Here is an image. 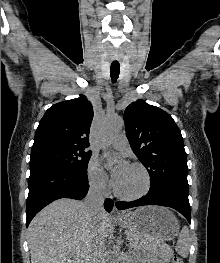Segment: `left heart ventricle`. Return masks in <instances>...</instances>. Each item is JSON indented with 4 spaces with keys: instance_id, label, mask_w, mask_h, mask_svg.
<instances>
[{
    "instance_id": "left-heart-ventricle-1",
    "label": "left heart ventricle",
    "mask_w": 220,
    "mask_h": 263,
    "mask_svg": "<svg viewBox=\"0 0 220 263\" xmlns=\"http://www.w3.org/2000/svg\"><path fill=\"white\" fill-rule=\"evenodd\" d=\"M115 185L121 193L129 195L136 194L143 190L145 177L139 168L130 165L115 182Z\"/></svg>"
}]
</instances>
